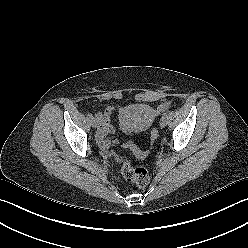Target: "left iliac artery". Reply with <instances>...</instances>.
Returning a JSON list of instances; mask_svg holds the SVG:
<instances>
[{"instance_id": "1", "label": "left iliac artery", "mask_w": 248, "mask_h": 248, "mask_svg": "<svg viewBox=\"0 0 248 248\" xmlns=\"http://www.w3.org/2000/svg\"><path fill=\"white\" fill-rule=\"evenodd\" d=\"M162 117H167V113H164Z\"/></svg>"}]
</instances>
